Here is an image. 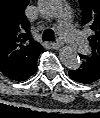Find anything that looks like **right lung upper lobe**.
<instances>
[{"label":"right lung upper lobe","instance_id":"right-lung-upper-lobe-1","mask_svg":"<svg viewBox=\"0 0 100 118\" xmlns=\"http://www.w3.org/2000/svg\"><path fill=\"white\" fill-rule=\"evenodd\" d=\"M29 0H0V71L19 80L42 52L30 34L24 11Z\"/></svg>","mask_w":100,"mask_h":118}]
</instances>
